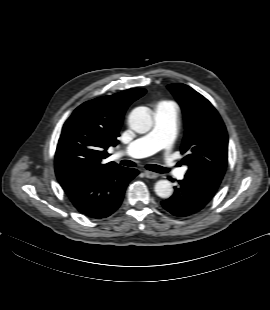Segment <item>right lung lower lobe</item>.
Returning a JSON list of instances; mask_svg holds the SVG:
<instances>
[{"label":"right lung lower lobe","instance_id":"98d812e1","mask_svg":"<svg viewBox=\"0 0 270 310\" xmlns=\"http://www.w3.org/2000/svg\"><path fill=\"white\" fill-rule=\"evenodd\" d=\"M138 175L132 168L110 169L60 180V185L74 207L82 214L101 219L121 205L127 184Z\"/></svg>","mask_w":270,"mask_h":310}]
</instances>
